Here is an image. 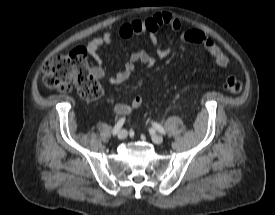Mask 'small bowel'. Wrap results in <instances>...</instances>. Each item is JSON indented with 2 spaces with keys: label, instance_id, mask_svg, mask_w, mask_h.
<instances>
[{
  "label": "small bowel",
  "instance_id": "1",
  "mask_svg": "<svg viewBox=\"0 0 275 215\" xmlns=\"http://www.w3.org/2000/svg\"><path fill=\"white\" fill-rule=\"evenodd\" d=\"M162 27H166L171 32L179 33L181 40L185 43L202 46L219 67L224 68L228 66V56L210 37L196 29H182L180 21L169 13L156 14L144 20L135 19L130 22H125L119 26L118 34L123 39L148 35L155 48L156 55L158 57H164L167 51L162 48L158 39V31ZM113 40L114 37L112 33L106 31L99 37L91 40L88 44V51L98 64L92 69L93 75L97 78H103L106 75L105 70L101 66L100 49L103 46L112 44ZM138 63L151 66L155 63V57L144 50L132 53L124 68L110 77L111 83L120 84L128 80L134 74L135 65ZM141 105L142 98L137 96L134 97L130 103L117 104L114 107V111L117 115L124 116L129 114L133 109L139 108Z\"/></svg>",
  "mask_w": 275,
  "mask_h": 215
}]
</instances>
